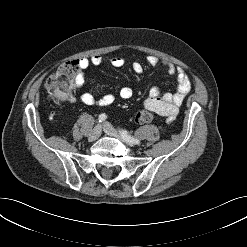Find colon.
Instances as JSON below:
<instances>
[{
  "label": "colon",
  "mask_w": 247,
  "mask_h": 247,
  "mask_svg": "<svg viewBox=\"0 0 247 247\" xmlns=\"http://www.w3.org/2000/svg\"><path fill=\"white\" fill-rule=\"evenodd\" d=\"M79 64L76 60L64 63L45 83L50 99L63 101L70 98L72 91L78 86ZM154 115L148 110H140L136 115L138 124H148L154 120Z\"/></svg>",
  "instance_id": "5ec220e1"
}]
</instances>
